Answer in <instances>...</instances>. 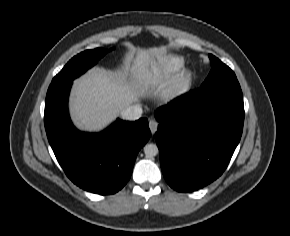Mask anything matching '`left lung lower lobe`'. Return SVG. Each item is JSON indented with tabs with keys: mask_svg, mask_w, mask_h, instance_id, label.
<instances>
[{
	"mask_svg": "<svg viewBox=\"0 0 290 236\" xmlns=\"http://www.w3.org/2000/svg\"><path fill=\"white\" fill-rule=\"evenodd\" d=\"M155 117L166 182L179 192L195 191L221 176L240 141L242 90L237 78L200 87L160 107Z\"/></svg>",
	"mask_w": 290,
	"mask_h": 236,
	"instance_id": "left-lung-lower-lobe-1",
	"label": "left lung lower lobe"
}]
</instances>
